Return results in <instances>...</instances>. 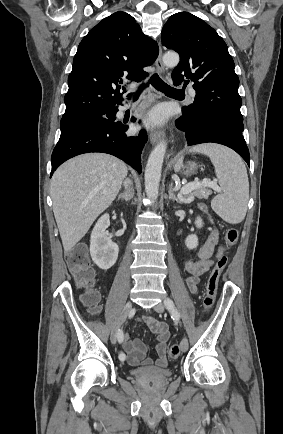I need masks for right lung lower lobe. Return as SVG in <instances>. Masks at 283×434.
I'll return each instance as SVG.
<instances>
[{
    "label": "right lung lower lobe",
    "instance_id": "98d812e1",
    "mask_svg": "<svg viewBox=\"0 0 283 434\" xmlns=\"http://www.w3.org/2000/svg\"><path fill=\"white\" fill-rule=\"evenodd\" d=\"M117 111L114 107L105 117L84 120L61 131L51 157V176L66 160L89 152L114 155L141 173V153L148 139L146 132L142 130L139 136H127L128 126L115 122ZM135 120L132 117V121Z\"/></svg>",
    "mask_w": 283,
    "mask_h": 434
}]
</instances>
